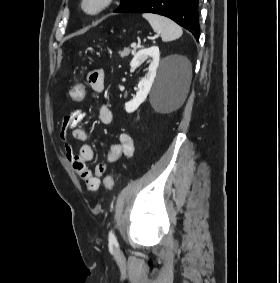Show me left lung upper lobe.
Instances as JSON below:
<instances>
[{
    "label": "left lung upper lobe",
    "instance_id": "left-lung-upper-lobe-1",
    "mask_svg": "<svg viewBox=\"0 0 280 283\" xmlns=\"http://www.w3.org/2000/svg\"><path fill=\"white\" fill-rule=\"evenodd\" d=\"M137 0H121L120 6L115 10V12H123L128 7H130L133 3H135Z\"/></svg>",
    "mask_w": 280,
    "mask_h": 283
}]
</instances>
